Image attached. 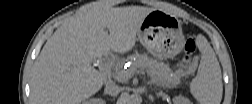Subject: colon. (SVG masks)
Segmentation results:
<instances>
[{"label": "colon", "mask_w": 252, "mask_h": 104, "mask_svg": "<svg viewBox=\"0 0 252 104\" xmlns=\"http://www.w3.org/2000/svg\"><path fill=\"white\" fill-rule=\"evenodd\" d=\"M196 51L195 35L190 32L184 44L183 60L186 64L192 65L194 63V53Z\"/></svg>", "instance_id": "5ec220e1"}]
</instances>
